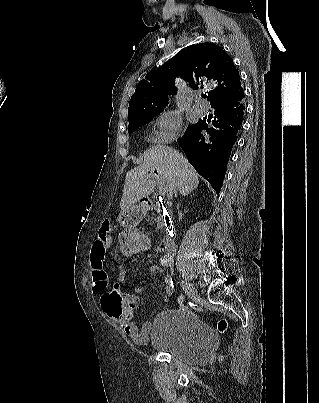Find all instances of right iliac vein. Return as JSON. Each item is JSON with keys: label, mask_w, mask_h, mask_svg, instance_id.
I'll return each mask as SVG.
<instances>
[{"label": "right iliac vein", "mask_w": 319, "mask_h": 403, "mask_svg": "<svg viewBox=\"0 0 319 403\" xmlns=\"http://www.w3.org/2000/svg\"><path fill=\"white\" fill-rule=\"evenodd\" d=\"M181 284L188 297L191 298L192 300H196L198 293L193 284L184 279L181 280Z\"/></svg>", "instance_id": "1"}]
</instances>
